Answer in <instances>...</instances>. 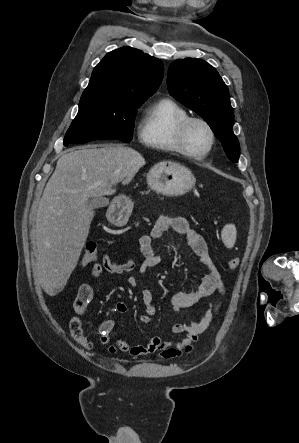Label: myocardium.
I'll list each match as a JSON object with an SVG mask.
<instances>
[{
  "instance_id": "myocardium-1",
  "label": "myocardium",
  "mask_w": 299,
  "mask_h": 443,
  "mask_svg": "<svg viewBox=\"0 0 299 443\" xmlns=\"http://www.w3.org/2000/svg\"><path fill=\"white\" fill-rule=\"evenodd\" d=\"M199 122L203 124L210 134V145L208 149L202 153L192 152L187 145V133L192 123ZM176 143L181 154L192 159H203L207 157L213 150L216 143V134L212 125L204 118L198 116H188L178 126L176 133Z\"/></svg>"
}]
</instances>
